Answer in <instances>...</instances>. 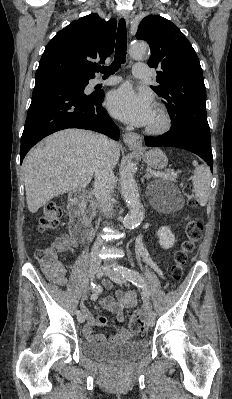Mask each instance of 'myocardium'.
Returning <instances> with one entry per match:
<instances>
[{
    "mask_svg": "<svg viewBox=\"0 0 232 399\" xmlns=\"http://www.w3.org/2000/svg\"><path fill=\"white\" fill-rule=\"evenodd\" d=\"M157 112L160 117V122L157 126L147 127L143 129V133L150 136H160L167 133L172 127V115L170 111L163 105L156 106Z\"/></svg>",
    "mask_w": 232,
    "mask_h": 399,
    "instance_id": "myocardium-1",
    "label": "myocardium"
}]
</instances>
